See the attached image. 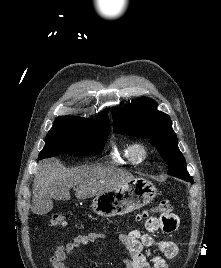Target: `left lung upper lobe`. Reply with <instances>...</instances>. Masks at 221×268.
Listing matches in <instances>:
<instances>
[{
	"mask_svg": "<svg viewBox=\"0 0 221 268\" xmlns=\"http://www.w3.org/2000/svg\"><path fill=\"white\" fill-rule=\"evenodd\" d=\"M156 108V102L148 97H140L125 108H112L114 131L148 139L168 164L170 175L191 181L170 117Z\"/></svg>",
	"mask_w": 221,
	"mask_h": 268,
	"instance_id": "5c2ea615",
	"label": "left lung upper lobe"
}]
</instances>
